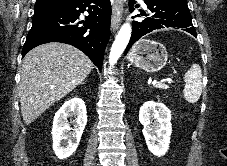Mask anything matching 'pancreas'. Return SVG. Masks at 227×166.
<instances>
[{
  "mask_svg": "<svg viewBox=\"0 0 227 166\" xmlns=\"http://www.w3.org/2000/svg\"><path fill=\"white\" fill-rule=\"evenodd\" d=\"M155 87L159 88V89H167L168 88L165 84H157Z\"/></svg>",
  "mask_w": 227,
  "mask_h": 166,
  "instance_id": "pancreas-1",
  "label": "pancreas"
}]
</instances>
